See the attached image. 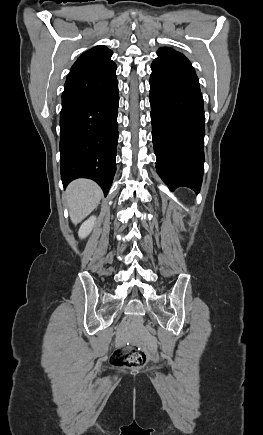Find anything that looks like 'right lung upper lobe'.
I'll use <instances>...</instances> for the list:
<instances>
[{
  "mask_svg": "<svg viewBox=\"0 0 263 435\" xmlns=\"http://www.w3.org/2000/svg\"><path fill=\"white\" fill-rule=\"evenodd\" d=\"M112 51L105 46H97L84 52L73 64L67 78L105 68L114 63Z\"/></svg>",
  "mask_w": 263,
  "mask_h": 435,
  "instance_id": "1",
  "label": "right lung upper lobe"
}]
</instances>
